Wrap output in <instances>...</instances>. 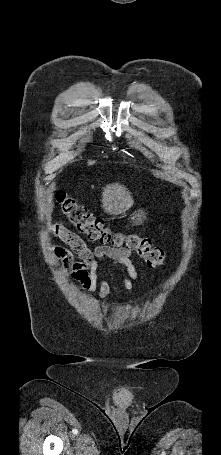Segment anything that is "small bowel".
I'll list each match as a JSON object with an SVG mask.
<instances>
[{
	"label": "small bowel",
	"instance_id": "1",
	"mask_svg": "<svg viewBox=\"0 0 221 455\" xmlns=\"http://www.w3.org/2000/svg\"><path fill=\"white\" fill-rule=\"evenodd\" d=\"M50 232L67 245L54 246L51 249L53 256L61 262L60 273L77 280L83 291L97 298H103L109 293L108 281L97 274L101 262L106 259L126 268L128 276L123 279V285L128 291L134 288L138 273L129 251L103 246L90 248L80 237L61 224L52 226ZM76 257L79 260H76Z\"/></svg>",
	"mask_w": 221,
	"mask_h": 455
}]
</instances>
